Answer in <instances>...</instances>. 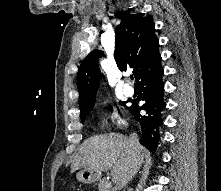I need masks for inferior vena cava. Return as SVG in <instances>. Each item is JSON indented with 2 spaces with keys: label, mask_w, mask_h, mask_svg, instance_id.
Wrapping results in <instances>:
<instances>
[{
  "label": "inferior vena cava",
  "mask_w": 221,
  "mask_h": 191,
  "mask_svg": "<svg viewBox=\"0 0 221 191\" xmlns=\"http://www.w3.org/2000/svg\"><path fill=\"white\" fill-rule=\"evenodd\" d=\"M129 141L131 143L133 162L130 170L129 177L123 182L122 187H125L126 184L131 180L132 176L137 172L139 162H138V148L137 145L139 143L138 137L136 134H131L129 137Z\"/></svg>",
  "instance_id": "1"
}]
</instances>
